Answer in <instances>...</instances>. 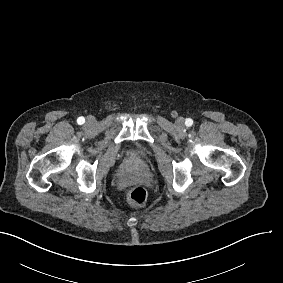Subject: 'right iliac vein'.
Returning a JSON list of instances; mask_svg holds the SVG:
<instances>
[{"instance_id": "right-iliac-vein-1", "label": "right iliac vein", "mask_w": 283, "mask_h": 283, "mask_svg": "<svg viewBox=\"0 0 283 283\" xmlns=\"http://www.w3.org/2000/svg\"><path fill=\"white\" fill-rule=\"evenodd\" d=\"M94 122H95V118L92 117V116L88 117L87 120H86L87 124H93Z\"/></svg>"}]
</instances>
